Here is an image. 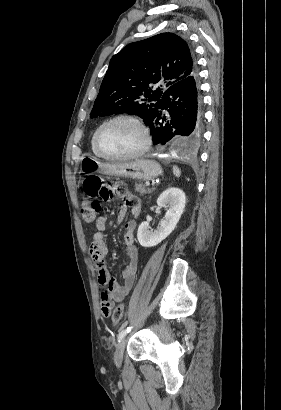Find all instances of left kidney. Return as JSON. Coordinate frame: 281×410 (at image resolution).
Returning a JSON list of instances; mask_svg holds the SVG:
<instances>
[{"label": "left kidney", "mask_w": 281, "mask_h": 410, "mask_svg": "<svg viewBox=\"0 0 281 410\" xmlns=\"http://www.w3.org/2000/svg\"><path fill=\"white\" fill-rule=\"evenodd\" d=\"M186 204L185 193L176 187H170L162 192L157 199L159 207H168L164 219L156 230H152L148 222L140 224L137 238L141 246L153 247L158 245L175 229ZM151 229V230H150Z\"/></svg>", "instance_id": "5707ae66"}]
</instances>
